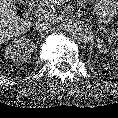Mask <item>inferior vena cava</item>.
I'll use <instances>...</instances> for the list:
<instances>
[{
	"label": "inferior vena cava",
	"instance_id": "602c4592",
	"mask_svg": "<svg viewBox=\"0 0 118 118\" xmlns=\"http://www.w3.org/2000/svg\"><path fill=\"white\" fill-rule=\"evenodd\" d=\"M55 22V19L47 14L42 15L35 22L36 28L39 31H44L50 28Z\"/></svg>",
	"mask_w": 118,
	"mask_h": 118
}]
</instances>
